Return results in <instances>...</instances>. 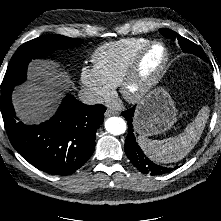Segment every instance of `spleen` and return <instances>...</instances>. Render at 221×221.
I'll return each instance as SVG.
<instances>
[{"label":"spleen","mask_w":221,"mask_h":221,"mask_svg":"<svg viewBox=\"0 0 221 221\" xmlns=\"http://www.w3.org/2000/svg\"><path fill=\"white\" fill-rule=\"evenodd\" d=\"M209 118L207 107H203L193 122L178 136L164 140H151L139 136L138 143L144 153L154 162L171 163L183 159L198 143Z\"/></svg>","instance_id":"3e777b00"}]
</instances>
